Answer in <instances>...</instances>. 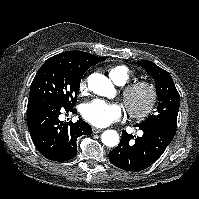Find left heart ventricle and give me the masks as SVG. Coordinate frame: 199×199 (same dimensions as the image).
I'll return each instance as SVG.
<instances>
[{
    "label": "left heart ventricle",
    "mask_w": 199,
    "mask_h": 199,
    "mask_svg": "<svg viewBox=\"0 0 199 199\" xmlns=\"http://www.w3.org/2000/svg\"><path fill=\"white\" fill-rule=\"evenodd\" d=\"M144 101V96L142 94L138 95L136 98H135V105L136 106H140Z\"/></svg>",
    "instance_id": "obj_1"
}]
</instances>
